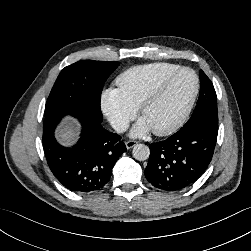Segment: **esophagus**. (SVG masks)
I'll return each instance as SVG.
<instances>
[{"instance_id": "1", "label": "esophagus", "mask_w": 251, "mask_h": 251, "mask_svg": "<svg viewBox=\"0 0 251 251\" xmlns=\"http://www.w3.org/2000/svg\"><path fill=\"white\" fill-rule=\"evenodd\" d=\"M137 144V141L134 140H129L126 142V147L127 149H131L132 147H134Z\"/></svg>"}]
</instances>
